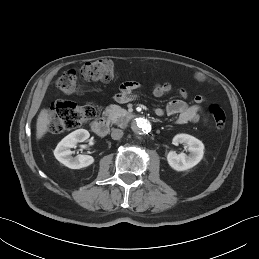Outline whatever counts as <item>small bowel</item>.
<instances>
[{
    "mask_svg": "<svg viewBox=\"0 0 259 259\" xmlns=\"http://www.w3.org/2000/svg\"><path fill=\"white\" fill-rule=\"evenodd\" d=\"M194 78L197 81L205 82L208 80L207 76L201 72H195ZM139 88V84L135 81H125L121 84L119 91L114 95V100L118 103H125L134 98L135 91ZM169 83L155 84L152 92L156 97H162L171 91ZM180 99L170 101L165 110L162 108H155L154 113L157 116H163L166 112L169 115H177V123H196L199 121L202 113L201 103L204 98L200 95L194 98L193 103H188L186 98L188 93L184 88L179 89Z\"/></svg>",
    "mask_w": 259,
    "mask_h": 259,
    "instance_id": "c3829d8e",
    "label": "small bowel"
}]
</instances>
